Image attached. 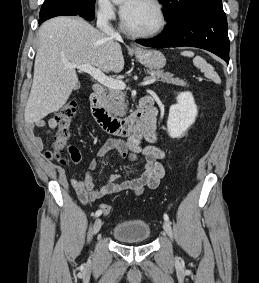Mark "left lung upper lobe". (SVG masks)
Masks as SVG:
<instances>
[{"instance_id":"obj_1","label":"left lung upper lobe","mask_w":259,"mask_h":283,"mask_svg":"<svg viewBox=\"0 0 259 283\" xmlns=\"http://www.w3.org/2000/svg\"><path fill=\"white\" fill-rule=\"evenodd\" d=\"M164 6V16L168 20V26H172L198 9L221 0H158Z\"/></svg>"}]
</instances>
